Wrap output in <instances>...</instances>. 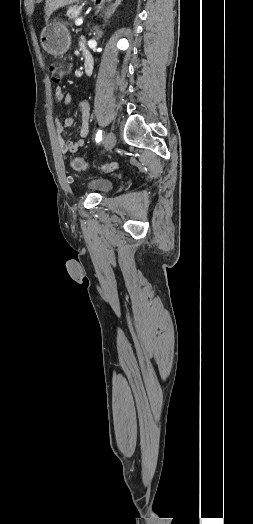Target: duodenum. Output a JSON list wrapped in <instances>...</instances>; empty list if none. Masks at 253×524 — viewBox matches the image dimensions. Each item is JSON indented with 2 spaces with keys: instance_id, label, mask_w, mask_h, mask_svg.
<instances>
[{
  "instance_id": "1",
  "label": "duodenum",
  "mask_w": 253,
  "mask_h": 524,
  "mask_svg": "<svg viewBox=\"0 0 253 524\" xmlns=\"http://www.w3.org/2000/svg\"><path fill=\"white\" fill-rule=\"evenodd\" d=\"M85 71L88 74H91L93 72V65L90 62H85Z\"/></svg>"
}]
</instances>
